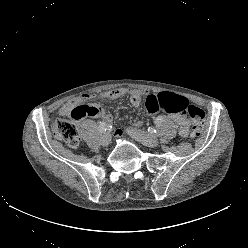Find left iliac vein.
I'll use <instances>...</instances> for the list:
<instances>
[{
  "instance_id": "1",
  "label": "left iliac vein",
  "mask_w": 248,
  "mask_h": 248,
  "mask_svg": "<svg viewBox=\"0 0 248 248\" xmlns=\"http://www.w3.org/2000/svg\"><path fill=\"white\" fill-rule=\"evenodd\" d=\"M128 133L135 138L136 140L140 141L142 144L148 147H156L159 144L158 139L145 131L138 130V129H128Z\"/></svg>"
}]
</instances>
